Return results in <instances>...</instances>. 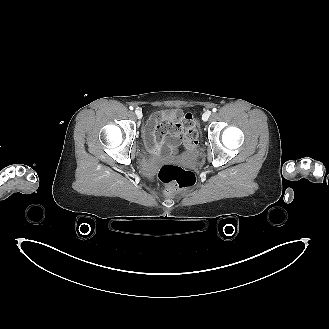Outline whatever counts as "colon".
Segmentation results:
<instances>
[{"label": "colon", "mask_w": 329, "mask_h": 329, "mask_svg": "<svg viewBox=\"0 0 329 329\" xmlns=\"http://www.w3.org/2000/svg\"><path fill=\"white\" fill-rule=\"evenodd\" d=\"M183 121L185 146L188 151L192 152L196 148L199 131L191 113H185ZM156 175L163 184L168 186L167 192L170 195L174 194L177 189L194 186L197 181L196 174L192 170L171 163L161 165Z\"/></svg>", "instance_id": "obj_1"}]
</instances>
